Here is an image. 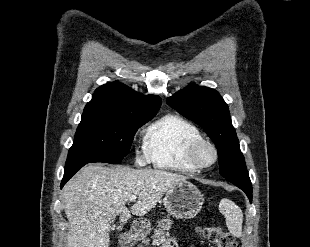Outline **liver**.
Masks as SVG:
<instances>
[{
	"label": "liver",
	"instance_id": "obj_1",
	"mask_svg": "<svg viewBox=\"0 0 310 247\" xmlns=\"http://www.w3.org/2000/svg\"><path fill=\"white\" fill-rule=\"evenodd\" d=\"M186 176L159 169L115 168L100 164L84 167L63 188L64 210L70 229L68 247H109L111 223L120 216H144L162 196ZM132 195L138 201L128 210Z\"/></svg>",
	"mask_w": 310,
	"mask_h": 247
}]
</instances>
